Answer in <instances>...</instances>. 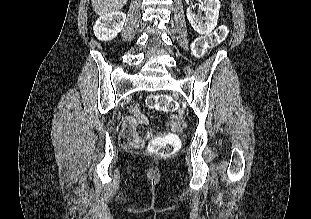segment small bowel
<instances>
[{
  "instance_id": "obj_1",
  "label": "small bowel",
  "mask_w": 311,
  "mask_h": 219,
  "mask_svg": "<svg viewBox=\"0 0 311 219\" xmlns=\"http://www.w3.org/2000/svg\"><path fill=\"white\" fill-rule=\"evenodd\" d=\"M133 114H134V116L133 117H129V118H127L126 119V124L128 125V127L129 128H133L134 126H136V125H138V124H144V123H146V118H145V116H143L140 112H139V110L137 109V107L136 106H133ZM171 129L173 130V131H179V127H178V125L176 124V123H173L172 125H171ZM125 138H126V140H127V142H130V140L132 139V138H134L131 134H127L126 136H125Z\"/></svg>"
}]
</instances>
